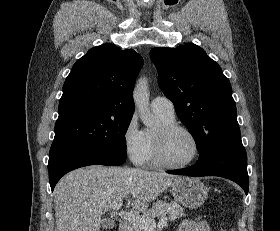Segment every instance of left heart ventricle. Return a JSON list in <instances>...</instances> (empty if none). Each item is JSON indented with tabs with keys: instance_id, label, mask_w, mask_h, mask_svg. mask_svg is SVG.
I'll return each mask as SVG.
<instances>
[{
	"instance_id": "obj_1",
	"label": "left heart ventricle",
	"mask_w": 280,
	"mask_h": 231,
	"mask_svg": "<svg viewBox=\"0 0 280 231\" xmlns=\"http://www.w3.org/2000/svg\"><path fill=\"white\" fill-rule=\"evenodd\" d=\"M162 132V126L155 134ZM163 144L167 157L174 163L190 161L196 153V145L192 137L183 131H175L163 138Z\"/></svg>"
}]
</instances>
